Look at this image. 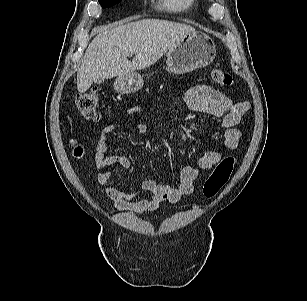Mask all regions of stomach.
<instances>
[{"label":"stomach","mask_w":307,"mask_h":301,"mask_svg":"<svg viewBox=\"0 0 307 301\" xmlns=\"http://www.w3.org/2000/svg\"><path fill=\"white\" fill-rule=\"evenodd\" d=\"M216 47L203 32L193 31L184 35L167 54V68L171 73L184 74L208 66L215 58ZM144 80L140 73L132 72L116 78L114 89L122 94L141 89Z\"/></svg>","instance_id":"1"}]
</instances>
